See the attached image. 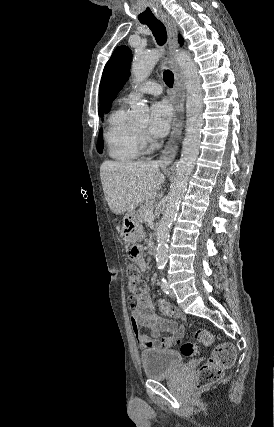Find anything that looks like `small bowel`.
Segmentation results:
<instances>
[{
    "label": "small bowel",
    "instance_id": "small-bowel-1",
    "mask_svg": "<svg viewBox=\"0 0 274 427\" xmlns=\"http://www.w3.org/2000/svg\"><path fill=\"white\" fill-rule=\"evenodd\" d=\"M135 259L141 270L145 271L150 268L141 250ZM156 304L160 313L168 312V299H159ZM176 316L179 317L180 315L177 313ZM130 327L138 345L144 351L155 348H170L175 339L184 334V327L178 325L174 319L155 313L150 296L146 291L139 295L136 306L131 310ZM142 327L149 328L153 336H146L141 329ZM162 333H169V335L163 336Z\"/></svg>",
    "mask_w": 274,
    "mask_h": 427
}]
</instances>
